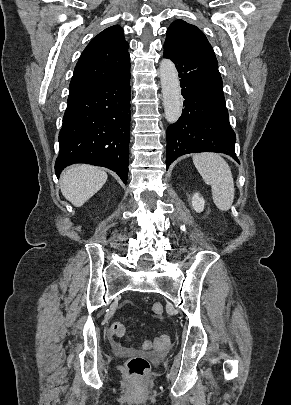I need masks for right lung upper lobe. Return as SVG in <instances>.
I'll return each mask as SVG.
<instances>
[{
	"mask_svg": "<svg viewBox=\"0 0 291 405\" xmlns=\"http://www.w3.org/2000/svg\"><path fill=\"white\" fill-rule=\"evenodd\" d=\"M123 33L120 26L114 25L103 30L87 45L76 64L68 101L130 73L129 44Z\"/></svg>",
	"mask_w": 291,
	"mask_h": 405,
	"instance_id": "right-lung-upper-lobe-1",
	"label": "right lung upper lobe"
}]
</instances>
